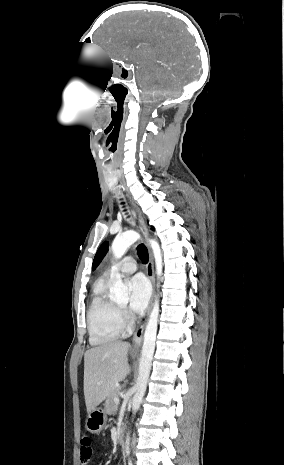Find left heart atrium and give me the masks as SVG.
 Listing matches in <instances>:
<instances>
[{
	"mask_svg": "<svg viewBox=\"0 0 284 465\" xmlns=\"http://www.w3.org/2000/svg\"><path fill=\"white\" fill-rule=\"evenodd\" d=\"M129 289L128 310L131 315H137L147 307L150 298V286L143 275H136L130 279Z\"/></svg>",
	"mask_w": 284,
	"mask_h": 465,
	"instance_id": "left-heart-atrium-1",
	"label": "left heart atrium"
}]
</instances>
